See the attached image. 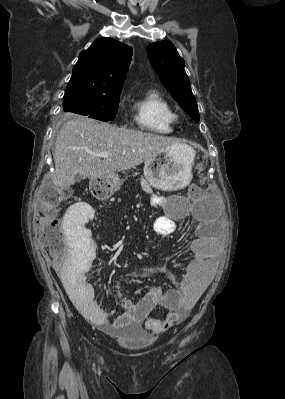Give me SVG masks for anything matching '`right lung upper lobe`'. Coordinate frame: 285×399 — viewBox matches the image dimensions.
<instances>
[{
	"label": "right lung upper lobe",
	"instance_id": "cb5924a9",
	"mask_svg": "<svg viewBox=\"0 0 285 399\" xmlns=\"http://www.w3.org/2000/svg\"><path fill=\"white\" fill-rule=\"evenodd\" d=\"M132 47L112 38H99L80 53L67 85V94L121 92L131 61Z\"/></svg>",
	"mask_w": 285,
	"mask_h": 399
}]
</instances>
